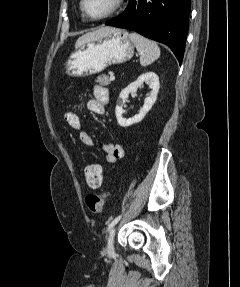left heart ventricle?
Here are the masks:
<instances>
[{
  "label": "left heart ventricle",
  "instance_id": "left-heart-ventricle-1",
  "mask_svg": "<svg viewBox=\"0 0 240 287\" xmlns=\"http://www.w3.org/2000/svg\"><path fill=\"white\" fill-rule=\"evenodd\" d=\"M113 0H86V10L93 17L105 14L112 6Z\"/></svg>",
  "mask_w": 240,
  "mask_h": 287
}]
</instances>
